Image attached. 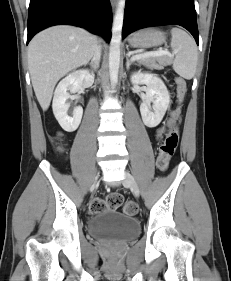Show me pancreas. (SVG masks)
Masks as SVG:
<instances>
[{"instance_id":"cf45deb5","label":"pancreas","mask_w":231,"mask_h":281,"mask_svg":"<svg viewBox=\"0 0 231 281\" xmlns=\"http://www.w3.org/2000/svg\"><path fill=\"white\" fill-rule=\"evenodd\" d=\"M171 61L172 58H170L168 55H162L140 59L138 62L139 64H142L150 69L162 70L164 66L171 63Z\"/></svg>"}]
</instances>
